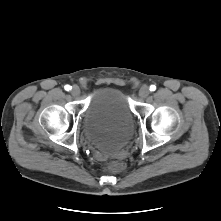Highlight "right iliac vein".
Segmentation results:
<instances>
[{"label": "right iliac vein", "mask_w": 221, "mask_h": 221, "mask_svg": "<svg viewBox=\"0 0 221 221\" xmlns=\"http://www.w3.org/2000/svg\"><path fill=\"white\" fill-rule=\"evenodd\" d=\"M71 93L73 96H78L80 94V89L78 86H73Z\"/></svg>", "instance_id": "63e3f726"}]
</instances>
